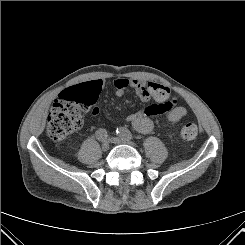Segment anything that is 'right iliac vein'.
I'll list each match as a JSON object with an SVG mask.
<instances>
[{"mask_svg":"<svg viewBox=\"0 0 245 245\" xmlns=\"http://www.w3.org/2000/svg\"><path fill=\"white\" fill-rule=\"evenodd\" d=\"M109 141H104L103 143H102V150L103 151H107L108 149H109Z\"/></svg>","mask_w":245,"mask_h":245,"instance_id":"right-iliac-vein-1","label":"right iliac vein"}]
</instances>
